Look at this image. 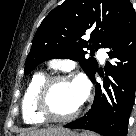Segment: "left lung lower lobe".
Segmentation results:
<instances>
[{
	"label": "left lung lower lobe",
	"mask_w": 136,
	"mask_h": 136,
	"mask_svg": "<svg viewBox=\"0 0 136 136\" xmlns=\"http://www.w3.org/2000/svg\"><path fill=\"white\" fill-rule=\"evenodd\" d=\"M112 63L105 66L103 86L96 83L95 99L86 115L64 127L85 129L102 136H126L136 90V14L133 6L108 39ZM95 72L89 77L95 83Z\"/></svg>",
	"instance_id": "obj_1"
}]
</instances>
